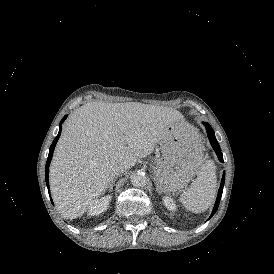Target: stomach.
Instances as JSON below:
<instances>
[{"instance_id":"1","label":"stomach","mask_w":274,"mask_h":274,"mask_svg":"<svg viewBox=\"0 0 274 274\" xmlns=\"http://www.w3.org/2000/svg\"><path fill=\"white\" fill-rule=\"evenodd\" d=\"M184 130L186 132L183 133ZM195 134L196 129L185 124L159 141L161 156L155 160L152 172L156 185L163 193L180 192L199 172L197 156L191 148Z\"/></svg>"}]
</instances>
